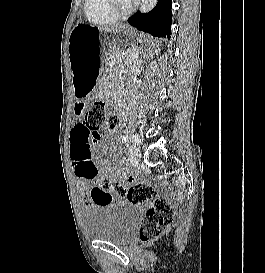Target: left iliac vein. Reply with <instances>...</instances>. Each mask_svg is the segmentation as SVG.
Instances as JSON below:
<instances>
[{
	"label": "left iliac vein",
	"instance_id": "4c4485c4",
	"mask_svg": "<svg viewBox=\"0 0 265 273\" xmlns=\"http://www.w3.org/2000/svg\"><path fill=\"white\" fill-rule=\"evenodd\" d=\"M139 139V144L142 142V138L136 134ZM129 158L132 163H139L141 159V154L139 148L134 144L129 149Z\"/></svg>",
	"mask_w": 265,
	"mask_h": 273
}]
</instances>
